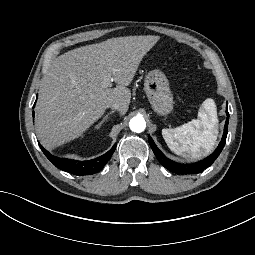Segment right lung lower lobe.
<instances>
[{
    "mask_svg": "<svg viewBox=\"0 0 255 255\" xmlns=\"http://www.w3.org/2000/svg\"><path fill=\"white\" fill-rule=\"evenodd\" d=\"M34 115V113H33ZM41 150L46 157L59 169L69 172L74 175H91L100 171L104 165L108 162L112 154L116 149V144L104 155L89 160V161H76L67 158H59L51 155L39 144Z\"/></svg>",
    "mask_w": 255,
    "mask_h": 255,
    "instance_id": "right-lung-lower-lobe-1",
    "label": "right lung lower lobe"
}]
</instances>
